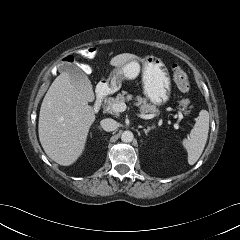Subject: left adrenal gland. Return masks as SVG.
<instances>
[{
    "instance_id": "1",
    "label": "left adrenal gland",
    "mask_w": 240,
    "mask_h": 240,
    "mask_svg": "<svg viewBox=\"0 0 240 240\" xmlns=\"http://www.w3.org/2000/svg\"><path fill=\"white\" fill-rule=\"evenodd\" d=\"M153 127L148 126L147 128H144L143 131L147 135L148 132L152 129Z\"/></svg>"
}]
</instances>
